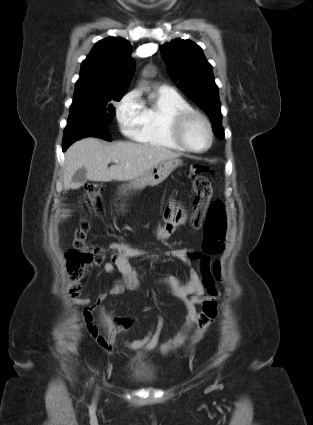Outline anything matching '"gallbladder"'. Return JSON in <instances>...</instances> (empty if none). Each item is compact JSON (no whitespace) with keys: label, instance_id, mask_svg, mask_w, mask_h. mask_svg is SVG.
<instances>
[{"label":"gallbladder","instance_id":"gallbladder-1","mask_svg":"<svg viewBox=\"0 0 313 425\" xmlns=\"http://www.w3.org/2000/svg\"><path fill=\"white\" fill-rule=\"evenodd\" d=\"M72 181L81 185L85 184L87 181L86 170L84 168L78 169L73 175Z\"/></svg>","mask_w":313,"mask_h":425}]
</instances>
